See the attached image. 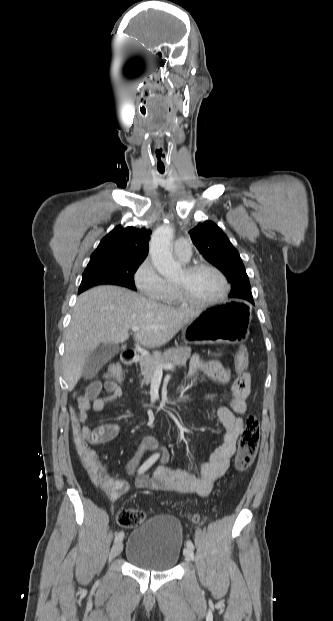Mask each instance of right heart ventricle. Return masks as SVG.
<instances>
[{
  "mask_svg": "<svg viewBox=\"0 0 333 621\" xmlns=\"http://www.w3.org/2000/svg\"><path fill=\"white\" fill-rule=\"evenodd\" d=\"M161 301L165 304L168 305H176V304H180L182 301L178 298L173 284L171 283H167V288L166 291L163 295V297L161 298Z\"/></svg>",
  "mask_w": 333,
  "mask_h": 621,
  "instance_id": "right-heart-ventricle-1",
  "label": "right heart ventricle"
}]
</instances>
